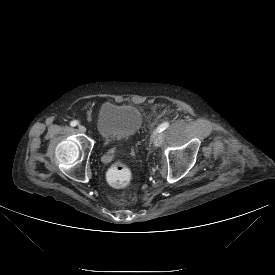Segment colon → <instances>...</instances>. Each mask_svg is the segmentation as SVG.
<instances>
[{"label": "colon", "mask_w": 275, "mask_h": 275, "mask_svg": "<svg viewBox=\"0 0 275 275\" xmlns=\"http://www.w3.org/2000/svg\"><path fill=\"white\" fill-rule=\"evenodd\" d=\"M131 173L122 160L114 161L107 170V179L114 187H121L128 183Z\"/></svg>", "instance_id": "5ec220e1"}]
</instances>
